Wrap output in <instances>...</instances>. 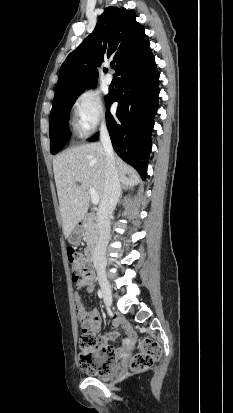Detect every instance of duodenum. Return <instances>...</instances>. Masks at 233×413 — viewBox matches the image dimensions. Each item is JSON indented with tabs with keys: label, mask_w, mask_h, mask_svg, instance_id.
Listing matches in <instances>:
<instances>
[{
	"label": "duodenum",
	"mask_w": 233,
	"mask_h": 413,
	"mask_svg": "<svg viewBox=\"0 0 233 413\" xmlns=\"http://www.w3.org/2000/svg\"><path fill=\"white\" fill-rule=\"evenodd\" d=\"M83 225V222L82 221H79L78 222V226H82ZM94 256H95V248L94 247H90L89 249H88V251H87V258H88V260H90V261H93L94 260Z\"/></svg>",
	"instance_id": "1"
}]
</instances>
